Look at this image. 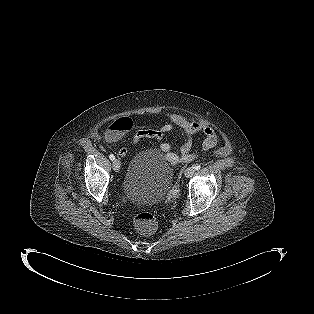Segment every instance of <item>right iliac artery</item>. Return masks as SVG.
<instances>
[{
    "instance_id": "1",
    "label": "right iliac artery",
    "mask_w": 314,
    "mask_h": 314,
    "mask_svg": "<svg viewBox=\"0 0 314 314\" xmlns=\"http://www.w3.org/2000/svg\"><path fill=\"white\" fill-rule=\"evenodd\" d=\"M109 158L113 161V160H115V156L113 155V154H110L109 155Z\"/></svg>"
}]
</instances>
